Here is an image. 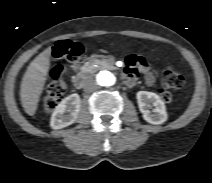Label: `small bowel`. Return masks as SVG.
Returning <instances> with one entry per match:
<instances>
[{
  "mask_svg": "<svg viewBox=\"0 0 212 183\" xmlns=\"http://www.w3.org/2000/svg\"><path fill=\"white\" fill-rule=\"evenodd\" d=\"M139 74L144 76L145 83L151 86L155 83V74L147 60L138 55H130L126 60L125 76L129 86H132Z\"/></svg>",
  "mask_w": 212,
  "mask_h": 183,
  "instance_id": "1",
  "label": "small bowel"
}]
</instances>
